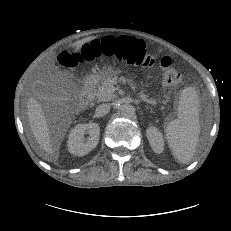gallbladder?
<instances>
[{
    "instance_id": "gallbladder-1",
    "label": "gallbladder",
    "mask_w": 231,
    "mask_h": 231,
    "mask_svg": "<svg viewBox=\"0 0 231 231\" xmlns=\"http://www.w3.org/2000/svg\"><path fill=\"white\" fill-rule=\"evenodd\" d=\"M69 81L70 77L66 73L53 74L50 82L38 85V92L46 98L55 99L60 95V88Z\"/></svg>"
}]
</instances>
